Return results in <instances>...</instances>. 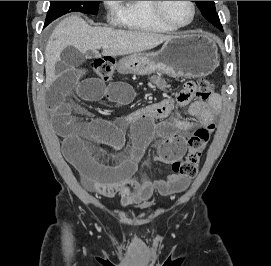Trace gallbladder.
<instances>
[{"label": "gallbladder", "instance_id": "1", "mask_svg": "<svg viewBox=\"0 0 271 266\" xmlns=\"http://www.w3.org/2000/svg\"><path fill=\"white\" fill-rule=\"evenodd\" d=\"M90 58L96 57L92 51L88 52ZM87 56L80 53L78 49L73 46L66 47L61 53V59L56 63V74L64 75L67 71L74 69L84 63Z\"/></svg>", "mask_w": 271, "mask_h": 266}]
</instances>
